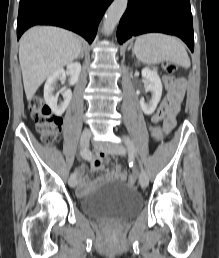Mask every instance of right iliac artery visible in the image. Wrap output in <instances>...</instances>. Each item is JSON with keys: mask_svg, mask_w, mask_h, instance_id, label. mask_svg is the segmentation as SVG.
<instances>
[{"mask_svg": "<svg viewBox=\"0 0 219 258\" xmlns=\"http://www.w3.org/2000/svg\"><path fill=\"white\" fill-rule=\"evenodd\" d=\"M80 155H81L84 159H86V160H89V159L91 158L90 152H89L88 150H86V149L81 150V151H80ZM76 176H77V174H76L75 172L71 174V177H72V178H76Z\"/></svg>", "mask_w": 219, "mask_h": 258, "instance_id": "obj_1", "label": "right iliac artery"}]
</instances>
